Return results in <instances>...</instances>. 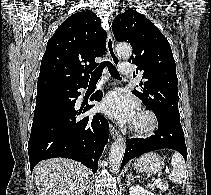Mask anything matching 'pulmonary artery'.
I'll return each instance as SVG.
<instances>
[{
  "instance_id": "pulmonary-artery-1",
  "label": "pulmonary artery",
  "mask_w": 211,
  "mask_h": 195,
  "mask_svg": "<svg viewBox=\"0 0 211 195\" xmlns=\"http://www.w3.org/2000/svg\"><path fill=\"white\" fill-rule=\"evenodd\" d=\"M119 71L124 75H130L132 72V65L130 63H122L119 66Z\"/></svg>"
}]
</instances>
